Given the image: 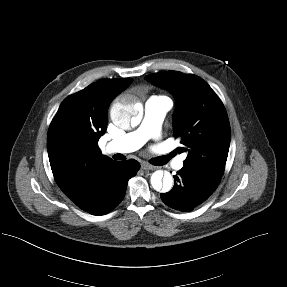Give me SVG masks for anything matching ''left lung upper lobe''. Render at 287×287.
I'll return each instance as SVG.
<instances>
[{
	"instance_id": "left-lung-upper-lobe-1",
	"label": "left lung upper lobe",
	"mask_w": 287,
	"mask_h": 287,
	"mask_svg": "<svg viewBox=\"0 0 287 287\" xmlns=\"http://www.w3.org/2000/svg\"><path fill=\"white\" fill-rule=\"evenodd\" d=\"M156 86L176 97L174 134L180 137L179 153L187 152L184 165L218 184L225 169L230 146V124L225 107L202 78L167 71L146 76Z\"/></svg>"
}]
</instances>
